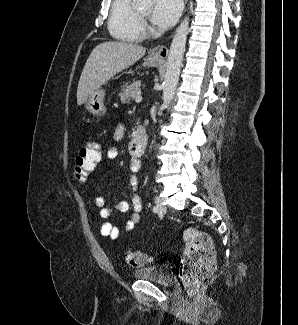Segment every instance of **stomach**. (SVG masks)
<instances>
[{"label": "stomach", "mask_w": 298, "mask_h": 325, "mask_svg": "<svg viewBox=\"0 0 298 325\" xmlns=\"http://www.w3.org/2000/svg\"><path fill=\"white\" fill-rule=\"evenodd\" d=\"M163 62H165V58L145 56L141 64H138V66H135V68H129L125 74H132L134 70H138V68H142V66H146V68H149V66H159V64H163ZM105 98L106 88H98V90H95L93 94H90L89 98L85 100L83 106L86 108V110H88V112H91V114H94V116L99 118V116H103L107 110L105 106Z\"/></svg>", "instance_id": "obj_1"}]
</instances>
